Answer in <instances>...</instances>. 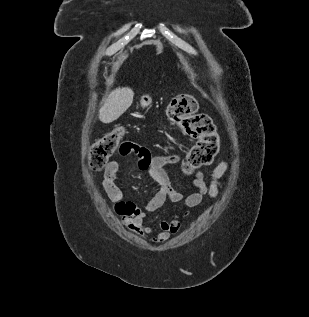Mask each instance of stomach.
Here are the masks:
<instances>
[{"label":"stomach","mask_w":309,"mask_h":317,"mask_svg":"<svg viewBox=\"0 0 309 317\" xmlns=\"http://www.w3.org/2000/svg\"><path fill=\"white\" fill-rule=\"evenodd\" d=\"M152 103V99L149 95H143L140 99V105L145 108L150 106Z\"/></svg>","instance_id":"stomach-1"}]
</instances>
